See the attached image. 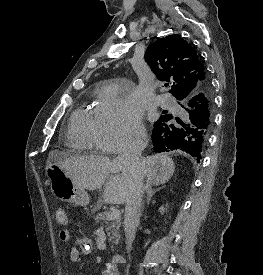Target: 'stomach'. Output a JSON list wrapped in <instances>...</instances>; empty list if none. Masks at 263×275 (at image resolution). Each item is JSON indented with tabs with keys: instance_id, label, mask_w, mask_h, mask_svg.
<instances>
[{
	"instance_id": "0dacf381",
	"label": "stomach",
	"mask_w": 263,
	"mask_h": 275,
	"mask_svg": "<svg viewBox=\"0 0 263 275\" xmlns=\"http://www.w3.org/2000/svg\"><path fill=\"white\" fill-rule=\"evenodd\" d=\"M45 171L50 182L51 192L57 199L80 206L89 204L88 193L78 187L55 162H49ZM94 208L98 209L99 206Z\"/></svg>"
}]
</instances>
